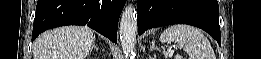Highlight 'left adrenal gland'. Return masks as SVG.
Segmentation results:
<instances>
[{
    "instance_id": "1",
    "label": "left adrenal gland",
    "mask_w": 261,
    "mask_h": 59,
    "mask_svg": "<svg viewBox=\"0 0 261 59\" xmlns=\"http://www.w3.org/2000/svg\"><path fill=\"white\" fill-rule=\"evenodd\" d=\"M151 44H152V45H151V47H150V51H153V50H158V51H160V48L155 45V41H154V40L151 42Z\"/></svg>"
}]
</instances>
